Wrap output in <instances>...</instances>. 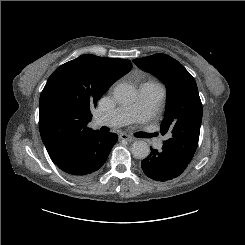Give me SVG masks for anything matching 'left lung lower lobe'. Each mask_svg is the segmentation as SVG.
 <instances>
[{
  "mask_svg": "<svg viewBox=\"0 0 245 245\" xmlns=\"http://www.w3.org/2000/svg\"><path fill=\"white\" fill-rule=\"evenodd\" d=\"M151 149L150 155L142 163L143 172L156 181H167L184 172L191 158L177 149L163 144L162 151Z\"/></svg>",
  "mask_w": 245,
  "mask_h": 245,
  "instance_id": "0a47b994",
  "label": "left lung lower lobe"
}]
</instances>
